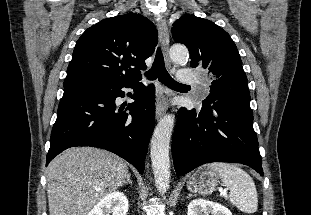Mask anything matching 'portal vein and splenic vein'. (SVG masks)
Instances as JSON below:
<instances>
[{
    "mask_svg": "<svg viewBox=\"0 0 311 215\" xmlns=\"http://www.w3.org/2000/svg\"><path fill=\"white\" fill-rule=\"evenodd\" d=\"M221 193H222L224 196H226V192H225V191H221Z\"/></svg>",
    "mask_w": 311,
    "mask_h": 215,
    "instance_id": "portal-vein-and-splenic-vein-1",
    "label": "portal vein and splenic vein"
}]
</instances>
